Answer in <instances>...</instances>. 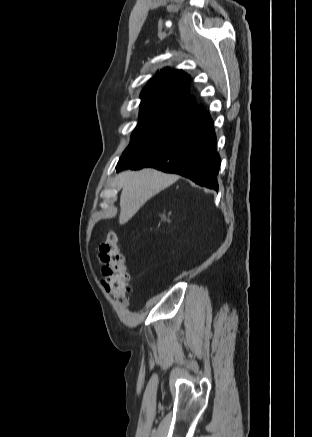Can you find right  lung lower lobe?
<instances>
[{
  "mask_svg": "<svg viewBox=\"0 0 312 437\" xmlns=\"http://www.w3.org/2000/svg\"><path fill=\"white\" fill-rule=\"evenodd\" d=\"M143 167L180 174L200 186L218 190L220 157L216 151V136L209 112L200 115L175 138L157 147L123 155L117 170Z\"/></svg>",
  "mask_w": 312,
  "mask_h": 437,
  "instance_id": "1",
  "label": "right lung lower lobe"
}]
</instances>
